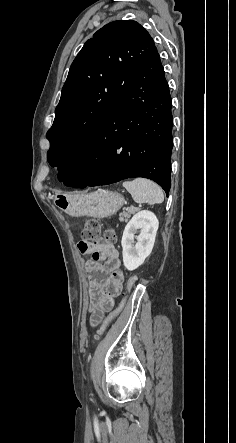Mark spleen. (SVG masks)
<instances>
[{
	"instance_id": "3e777b00",
	"label": "spleen",
	"mask_w": 236,
	"mask_h": 443,
	"mask_svg": "<svg viewBox=\"0 0 236 443\" xmlns=\"http://www.w3.org/2000/svg\"><path fill=\"white\" fill-rule=\"evenodd\" d=\"M123 187L131 194L135 202L149 205L161 204L164 201L162 189L151 180L136 178L123 182Z\"/></svg>"
}]
</instances>
